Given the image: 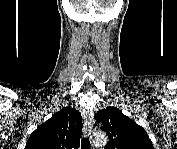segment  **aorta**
Listing matches in <instances>:
<instances>
[{
    "label": "aorta",
    "instance_id": "1",
    "mask_svg": "<svg viewBox=\"0 0 177 149\" xmlns=\"http://www.w3.org/2000/svg\"><path fill=\"white\" fill-rule=\"evenodd\" d=\"M107 142V137L105 134H98L94 138V143L96 145H104Z\"/></svg>",
    "mask_w": 177,
    "mask_h": 149
}]
</instances>
